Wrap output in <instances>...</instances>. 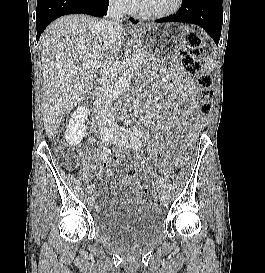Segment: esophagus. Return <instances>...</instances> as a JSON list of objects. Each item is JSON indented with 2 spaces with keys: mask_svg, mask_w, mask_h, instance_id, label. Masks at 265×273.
I'll list each match as a JSON object with an SVG mask.
<instances>
[{
  "mask_svg": "<svg viewBox=\"0 0 265 273\" xmlns=\"http://www.w3.org/2000/svg\"><path fill=\"white\" fill-rule=\"evenodd\" d=\"M128 23H129V25L134 26V27L142 25V21L140 19H138L137 17H129Z\"/></svg>",
  "mask_w": 265,
  "mask_h": 273,
  "instance_id": "34e87169",
  "label": "esophagus"
}]
</instances>
